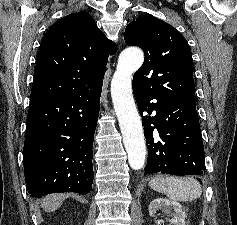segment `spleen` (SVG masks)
<instances>
[{"label":"spleen","mask_w":237,"mask_h":225,"mask_svg":"<svg viewBox=\"0 0 237 225\" xmlns=\"http://www.w3.org/2000/svg\"><path fill=\"white\" fill-rule=\"evenodd\" d=\"M149 185L174 201H192L200 198L202 194L200 183L192 177H155Z\"/></svg>","instance_id":"spleen-1"}]
</instances>
